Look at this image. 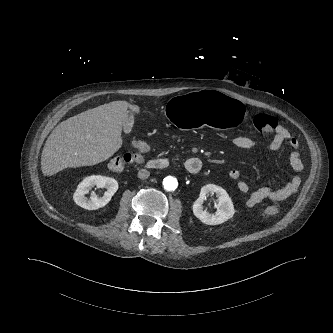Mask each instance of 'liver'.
<instances>
[{
	"label": "liver",
	"instance_id": "6515ba94",
	"mask_svg": "<svg viewBox=\"0 0 333 333\" xmlns=\"http://www.w3.org/2000/svg\"><path fill=\"white\" fill-rule=\"evenodd\" d=\"M128 108L140 107L112 101L58 124L48 136L41 155V169L52 176L65 168L92 166L109 159L122 146V124Z\"/></svg>",
	"mask_w": 333,
	"mask_h": 333
}]
</instances>
